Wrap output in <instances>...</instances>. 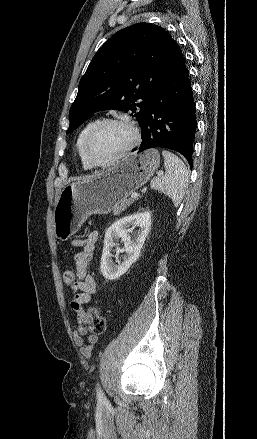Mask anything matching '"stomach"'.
Returning <instances> with one entry per match:
<instances>
[{"label": "stomach", "instance_id": "1", "mask_svg": "<svg viewBox=\"0 0 257 439\" xmlns=\"http://www.w3.org/2000/svg\"><path fill=\"white\" fill-rule=\"evenodd\" d=\"M159 163V152L148 149L132 153L110 169L63 187L53 211L56 238L66 241L89 216L110 213L147 183Z\"/></svg>", "mask_w": 257, "mask_h": 439}]
</instances>
